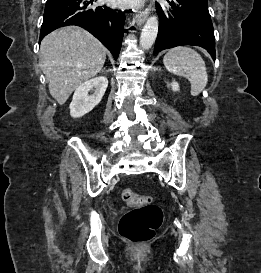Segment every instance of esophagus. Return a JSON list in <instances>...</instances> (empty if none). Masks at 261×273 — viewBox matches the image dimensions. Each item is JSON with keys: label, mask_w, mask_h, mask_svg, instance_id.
<instances>
[{"label": "esophagus", "mask_w": 261, "mask_h": 273, "mask_svg": "<svg viewBox=\"0 0 261 273\" xmlns=\"http://www.w3.org/2000/svg\"><path fill=\"white\" fill-rule=\"evenodd\" d=\"M147 19L146 13H138L135 15V20L137 25H142Z\"/></svg>", "instance_id": "34e87169"}]
</instances>
